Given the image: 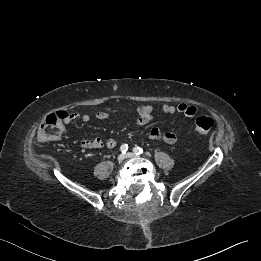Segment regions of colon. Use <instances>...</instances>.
<instances>
[{
  "mask_svg": "<svg viewBox=\"0 0 261 261\" xmlns=\"http://www.w3.org/2000/svg\"><path fill=\"white\" fill-rule=\"evenodd\" d=\"M70 120V114L64 111H57L48 114L42 121L37 139L40 143L53 141L61 135L62 126ZM214 125L213 119L208 115H200L195 121V134L203 135L208 133Z\"/></svg>",
  "mask_w": 261,
  "mask_h": 261,
  "instance_id": "obj_1",
  "label": "colon"
}]
</instances>
